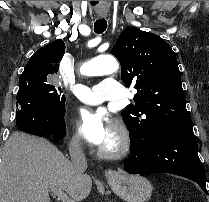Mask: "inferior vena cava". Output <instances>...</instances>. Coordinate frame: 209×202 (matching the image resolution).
I'll list each match as a JSON object with an SVG mask.
<instances>
[{"mask_svg":"<svg viewBox=\"0 0 209 202\" xmlns=\"http://www.w3.org/2000/svg\"><path fill=\"white\" fill-rule=\"evenodd\" d=\"M69 153L76 172L80 175L83 174L87 169V160L80 139H75L71 143Z\"/></svg>","mask_w":209,"mask_h":202,"instance_id":"inferior-vena-cava-1","label":"inferior vena cava"}]
</instances>
